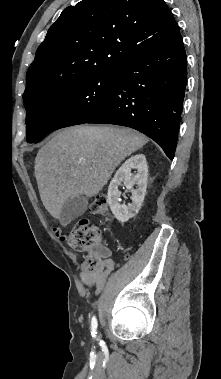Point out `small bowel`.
<instances>
[{
	"instance_id": "small-bowel-1",
	"label": "small bowel",
	"mask_w": 221,
	"mask_h": 379,
	"mask_svg": "<svg viewBox=\"0 0 221 379\" xmlns=\"http://www.w3.org/2000/svg\"><path fill=\"white\" fill-rule=\"evenodd\" d=\"M100 266L92 272H84L81 274L83 282L96 289V292L100 291L104 286L107 274L113 269V261L110 259V251L108 249H101Z\"/></svg>"
}]
</instances>
